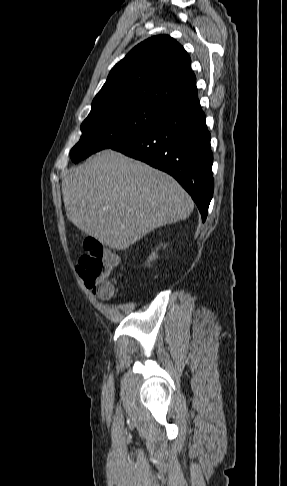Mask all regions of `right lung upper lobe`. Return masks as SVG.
Returning a JSON list of instances; mask_svg holds the SVG:
<instances>
[{"mask_svg":"<svg viewBox=\"0 0 287 486\" xmlns=\"http://www.w3.org/2000/svg\"><path fill=\"white\" fill-rule=\"evenodd\" d=\"M197 97L189 55L172 37L157 35L135 46L112 68L92 108L148 102L170 110Z\"/></svg>","mask_w":287,"mask_h":486,"instance_id":"cb5924a9","label":"right lung upper lobe"}]
</instances>
